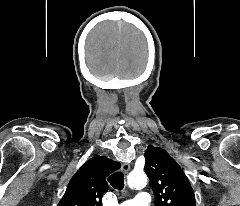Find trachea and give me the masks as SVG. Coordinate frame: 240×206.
<instances>
[{"mask_svg": "<svg viewBox=\"0 0 240 206\" xmlns=\"http://www.w3.org/2000/svg\"><path fill=\"white\" fill-rule=\"evenodd\" d=\"M108 182L111 186L117 190H122L124 188V175L122 172H116L109 176Z\"/></svg>", "mask_w": 240, "mask_h": 206, "instance_id": "obj_1", "label": "trachea"}]
</instances>
